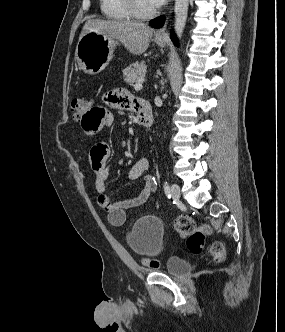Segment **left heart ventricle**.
<instances>
[{
    "label": "left heart ventricle",
    "instance_id": "b2bd125f",
    "mask_svg": "<svg viewBox=\"0 0 285 332\" xmlns=\"http://www.w3.org/2000/svg\"><path fill=\"white\" fill-rule=\"evenodd\" d=\"M138 2H139L140 8L144 11H150V10L154 9L150 0H138Z\"/></svg>",
    "mask_w": 285,
    "mask_h": 332
}]
</instances>
